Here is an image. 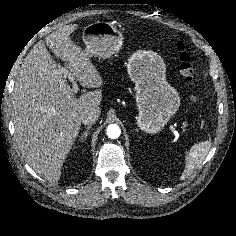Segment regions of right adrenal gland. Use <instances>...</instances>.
<instances>
[{
  "label": "right adrenal gland",
  "mask_w": 236,
  "mask_h": 236,
  "mask_svg": "<svg viewBox=\"0 0 236 236\" xmlns=\"http://www.w3.org/2000/svg\"><path fill=\"white\" fill-rule=\"evenodd\" d=\"M91 125H89L87 128H86V130L81 134V136L79 137V141H82V142H84V140H86L87 139V137H88V135H89V133H90V129H91Z\"/></svg>",
  "instance_id": "obj_1"
}]
</instances>
